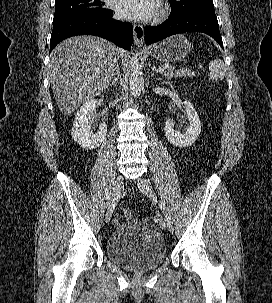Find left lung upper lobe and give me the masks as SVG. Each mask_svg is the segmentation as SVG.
<instances>
[{
	"label": "left lung upper lobe",
	"instance_id": "5c2ea615",
	"mask_svg": "<svg viewBox=\"0 0 272 303\" xmlns=\"http://www.w3.org/2000/svg\"><path fill=\"white\" fill-rule=\"evenodd\" d=\"M172 6L170 17L191 13H215L212 0H169Z\"/></svg>",
	"mask_w": 272,
	"mask_h": 303
}]
</instances>
